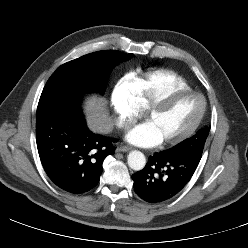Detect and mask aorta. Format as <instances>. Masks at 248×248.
I'll return each instance as SVG.
<instances>
[{
  "label": "aorta",
  "mask_w": 248,
  "mask_h": 248,
  "mask_svg": "<svg viewBox=\"0 0 248 248\" xmlns=\"http://www.w3.org/2000/svg\"><path fill=\"white\" fill-rule=\"evenodd\" d=\"M128 165L134 171H140L145 167L146 158L144 154L140 151H131L127 158Z\"/></svg>",
  "instance_id": "762f6f07"
}]
</instances>
